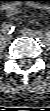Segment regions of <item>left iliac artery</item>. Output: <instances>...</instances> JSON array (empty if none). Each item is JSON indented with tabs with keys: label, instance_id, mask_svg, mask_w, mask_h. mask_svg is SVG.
Wrapping results in <instances>:
<instances>
[{
	"label": "left iliac artery",
	"instance_id": "left-iliac-artery-1",
	"mask_svg": "<svg viewBox=\"0 0 50 111\" xmlns=\"http://www.w3.org/2000/svg\"><path fill=\"white\" fill-rule=\"evenodd\" d=\"M35 33H36L37 39L39 41H43L44 40V36H43V34L40 31H36Z\"/></svg>",
	"mask_w": 50,
	"mask_h": 111
}]
</instances>
